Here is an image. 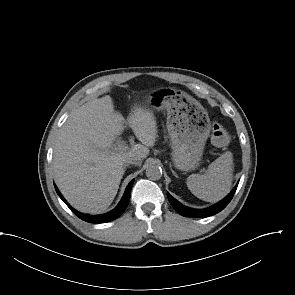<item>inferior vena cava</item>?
Segmentation results:
<instances>
[{
    "label": "inferior vena cava",
    "mask_w": 295,
    "mask_h": 295,
    "mask_svg": "<svg viewBox=\"0 0 295 295\" xmlns=\"http://www.w3.org/2000/svg\"><path fill=\"white\" fill-rule=\"evenodd\" d=\"M141 162H142L141 157L133 153L128 154L124 160V163L126 165L127 164L141 165Z\"/></svg>",
    "instance_id": "obj_1"
}]
</instances>
